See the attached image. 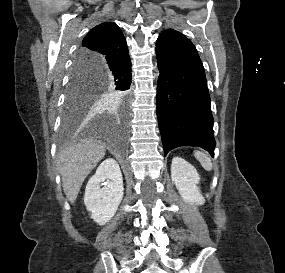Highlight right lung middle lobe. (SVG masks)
Masks as SVG:
<instances>
[{
	"instance_id": "obj_1",
	"label": "right lung middle lobe",
	"mask_w": 285,
	"mask_h": 273,
	"mask_svg": "<svg viewBox=\"0 0 285 273\" xmlns=\"http://www.w3.org/2000/svg\"><path fill=\"white\" fill-rule=\"evenodd\" d=\"M112 95L117 101L125 99L122 92H116L108 87L105 92L100 90V78L90 73H80L73 67L69 82L63 113L62 126L64 130L75 127L95 105L102 94Z\"/></svg>"
}]
</instances>
